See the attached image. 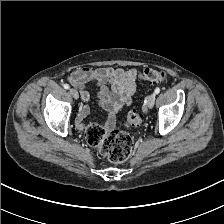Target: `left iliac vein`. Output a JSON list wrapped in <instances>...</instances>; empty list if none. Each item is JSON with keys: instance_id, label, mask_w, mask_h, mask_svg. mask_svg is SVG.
<instances>
[{"instance_id": "obj_1", "label": "left iliac vein", "mask_w": 224, "mask_h": 224, "mask_svg": "<svg viewBox=\"0 0 224 224\" xmlns=\"http://www.w3.org/2000/svg\"><path fill=\"white\" fill-rule=\"evenodd\" d=\"M156 95L152 93L147 97L146 109H151L154 106Z\"/></svg>"}]
</instances>
